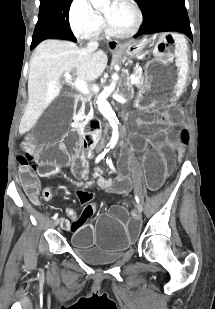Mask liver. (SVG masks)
<instances>
[{
    "instance_id": "6515ba94",
    "label": "liver",
    "mask_w": 215,
    "mask_h": 309,
    "mask_svg": "<svg viewBox=\"0 0 215 309\" xmlns=\"http://www.w3.org/2000/svg\"><path fill=\"white\" fill-rule=\"evenodd\" d=\"M108 56L104 50L88 52L70 40H43L30 58L28 104L19 132L32 128L48 104L58 96L63 72H72L79 80H95L102 74Z\"/></svg>"
}]
</instances>
